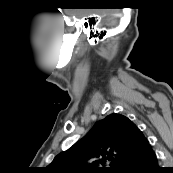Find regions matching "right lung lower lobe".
<instances>
[{
	"instance_id": "right-lung-lower-lobe-1",
	"label": "right lung lower lobe",
	"mask_w": 173,
	"mask_h": 173,
	"mask_svg": "<svg viewBox=\"0 0 173 173\" xmlns=\"http://www.w3.org/2000/svg\"><path fill=\"white\" fill-rule=\"evenodd\" d=\"M117 173H163L158 166L156 154L149 146L124 162Z\"/></svg>"
}]
</instances>
